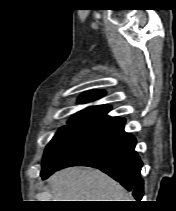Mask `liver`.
<instances>
[{
	"mask_svg": "<svg viewBox=\"0 0 176 211\" xmlns=\"http://www.w3.org/2000/svg\"><path fill=\"white\" fill-rule=\"evenodd\" d=\"M54 201H132L119 183L99 170L66 168L49 178Z\"/></svg>",
	"mask_w": 176,
	"mask_h": 211,
	"instance_id": "1",
	"label": "liver"
}]
</instances>
